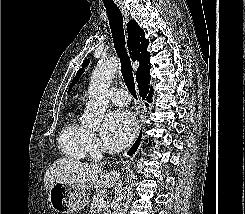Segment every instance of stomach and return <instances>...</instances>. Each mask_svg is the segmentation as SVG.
Masks as SVG:
<instances>
[{
	"mask_svg": "<svg viewBox=\"0 0 245 214\" xmlns=\"http://www.w3.org/2000/svg\"><path fill=\"white\" fill-rule=\"evenodd\" d=\"M51 207L61 214H71L88 204L86 190L56 182L49 191Z\"/></svg>",
	"mask_w": 245,
	"mask_h": 214,
	"instance_id": "obj_1",
	"label": "stomach"
}]
</instances>
